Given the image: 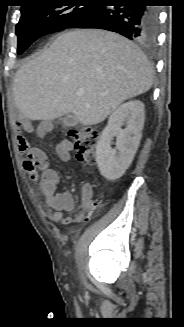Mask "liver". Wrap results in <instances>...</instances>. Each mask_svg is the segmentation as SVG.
<instances>
[{
  "instance_id": "obj_1",
  "label": "liver",
  "mask_w": 184,
  "mask_h": 327,
  "mask_svg": "<svg viewBox=\"0 0 184 327\" xmlns=\"http://www.w3.org/2000/svg\"><path fill=\"white\" fill-rule=\"evenodd\" d=\"M152 83L153 69L134 43L113 32L82 29L63 33L17 71L14 100L26 119L73 114L90 126Z\"/></svg>"
}]
</instances>
